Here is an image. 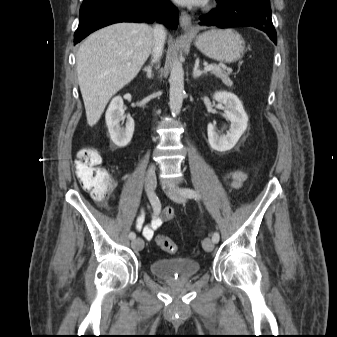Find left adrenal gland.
<instances>
[{
	"mask_svg": "<svg viewBox=\"0 0 337 337\" xmlns=\"http://www.w3.org/2000/svg\"><path fill=\"white\" fill-rule=\"evenodd\" d=\"M202 75H207V72L199 69V60H197L193 69V77L196 79Z\"/></svg>",
	"mask_w": 337,
	"mask_h": 337,
	"instance_id": "obj_1",
	"label": "left adrenal gland"
}]
</instances>
